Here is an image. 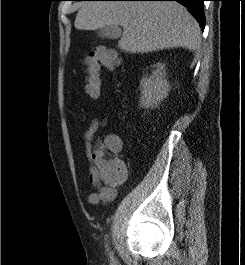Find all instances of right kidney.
<instances>
[{
    "label": "right kidney",
    "instance_id": "obj_1",
    "mask_svg": "<svg viewBox=\"0 0 245 265\" xmlns=\"http://www.w3.org/2000/svg\"><path fill=\"white\" fill-rule=\"evenodd\" d=\"M155 67L153 74L141 81L140 85V106L145 109L157 107L169 91V82L165 78V65L157 63Z\"/></svg>",
    "mask_w": 245,
    "mask_h": 265
}]
</instances>
